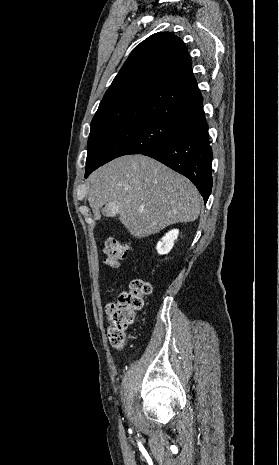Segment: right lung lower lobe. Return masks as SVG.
I'll list each match as a JSON object with an SVG mask.
<instances>
[{"mask_svg": "<svg viewBox=\"0 0 279 465\" xmlns=\"http://www.w3.org/2000/svg\"><path fill=\"white\" fill-rule=\"evenodd\" d=\"M186 176L206 203L212 189V149L203 107L182 117L162 142L141 153ZM87 171V177L93 170Z\"/></svg>", "mask_w": 279, "mask_h": 465, "instance_id": "right-lung-lower-lobe-1", "label": "right lung lower lobe"}]
</instances>
